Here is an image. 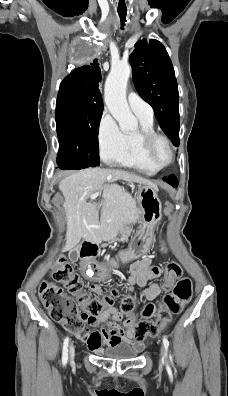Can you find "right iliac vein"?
<instances>
[{
	"instance_id": "63e3f726",
	"label": "right iliac vein",
	"mask_w": 228,
	"mask_h": 396,
	"mask_svg": "<svg viewBox=\"0 0 228 396\" xmlns=\"http://www.w3.org/2000/svg\"><path fill=\"white\" fill-rule=\"evenodd\" d=\"M75 356V348L74 345L71 343L70 347H69V357H70V361H73Z\"/></svg>"
}]
</instances>
